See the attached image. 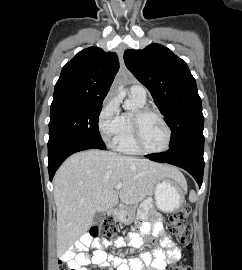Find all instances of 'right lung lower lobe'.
Here are the masks:
<instances>
[{
  "instance_id": "98d812e1",
  "label": "right lung lower lobe",
  "mask_w": 242,
  "mask_h": 270,
  "mask_svg": "<svg viewBox=\"0 0 242 270\" xmlns=\"http://www.w3.org/2000/svg\"><path fill=\"white\" fill-rule=\"evenodd\" d=\"M102 149L105 150L106 146L96 145L90 142H68L62 145L55 147L52 151L48 152V171L50 181H52L53 176L59 166L63 163V161L69 157L71 154L83 151L87 149Z\"/></svg>"
}]
</instances>
